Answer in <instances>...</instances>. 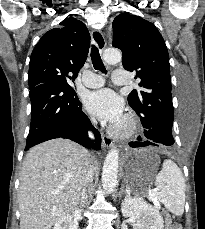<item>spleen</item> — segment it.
I'll return each mask as SVG.
<instances>
[{
  "label": "spleen",
  "instance_id": "spleen-1",
  "mask_svg": "<svg viewBox=\"0 0 205 229\" xmlns=\"http://www.w3.org/2000/svg\"><path fill=\"white\" fill-rule=\"evenodd\" d=\"M155 190H149V195L155 197L165 208L177 216L184 212L185 180L180 168L172 161L165 160L162 170L155 178Z\"/></svg>",
  "mask_w": 205,
  "mask_h": 229
}]
</instances>
